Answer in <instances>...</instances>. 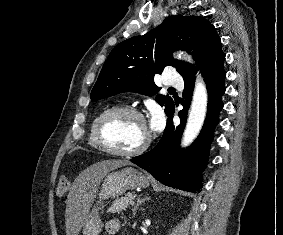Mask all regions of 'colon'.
<instances>
[{"label":"colon","instance_id":"1","mask_svg":"<svg viewBox=\"0 0 283 235\" xmlns=\"http://www.w3.org/2000/svg\"><path fill=\"white\" fill-rule=\"evenodd\" d=\"M69 188V179L66 176H62L59 179L57 186V194L63 195Z\"/></svg>","mask_w":283,"mask_h":235}]
</instances>
